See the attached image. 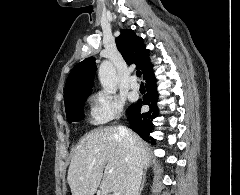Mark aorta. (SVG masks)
<instances>
[{
	"label": "aorta",
	"mask_w": 240,
	"mask_h": 195,
	"mask_svg": "<svg viewBox=\"0 0 240 195\" xmlns=\"http://www.w3.org/2000/svg\"><path fill=\"white\" fill-rule=\"evenodd\" d=\"M98 78L106 94H116L118 90V76L113 64L109 60H103L102 64H100Z\"/></svg>",
	"instance_id": "aorta-1"
}]
</instances>
